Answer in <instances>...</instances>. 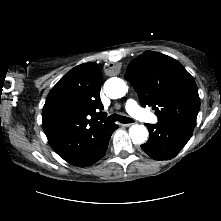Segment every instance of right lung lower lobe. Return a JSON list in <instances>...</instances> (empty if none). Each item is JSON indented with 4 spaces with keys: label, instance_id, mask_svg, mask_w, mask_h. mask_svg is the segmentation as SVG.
<instances>
[{
    "label": "right lung lower lobe",
    "instance_id": "right-lung-lower-lobe-1",
    "mask_svg": "<svg viewBox=\"0 0 221 221\" xmlns=\"http://www.w3.org/2000/svg\"><path fill=\"white\" fill-rule=\"evenodd\" d=\"M117 128L118 125L111 123L99 132L84 150L67 160V162L75 166L85 167L100 160L105 155L110 137Z\"/></svg>",
    "mask_w": 221,
    "mask_h": 221
}]
</instances>
